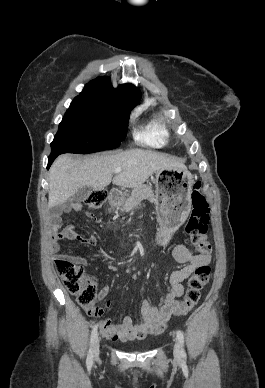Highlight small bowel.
<instances>
[{
	"instance_id": "small-bowel-1",
	"label": "small bowel",
	"mask_w": 265,
	"mask_h": 388,
	"mask_svg": "<svg viewBox=\"0 0 265 388\" xmlns=\"http://www.w3.org/2000/svg\"><path fill=\"white\" fill-rule=\"evenodd\" d=\"M83 208L84 205L82 202H75L68 210L82 211ZM86 216L90 219H95V215L90 211L86 212ZM60 223L59 215H54L51 219V225L55 231L52 249L56 253V260L64 258L79 266L88 265L89 262L86 258L59 253V240L63 238L61 234L57 233ZM75 239L89 246H96L99 242L98 238L94 235L88 237L77 236ZM173 256L178 263L184 264V266L171 273L169 277V291L165 295L161 306L156 308L149 301L144 300L140 310L141 319L138 323H133L132 319L128 317L118 325L112 324L109 319L99 321V328L104 337L113 341L142 339L148 335L162 331L167 326L172 315L175 313L176 307L180 303L178 299L184 293L183 281L189 278L197 267L208 265L211 261L209 254H194L186 246L181 244L174 247ZM109 293L110 287L103 286L98 297L100 300H103ZM110 306L111 302L108 301L103 308L94 307L90 314L101 316L104 310Z\"/></svg>"
}]
</instances>
